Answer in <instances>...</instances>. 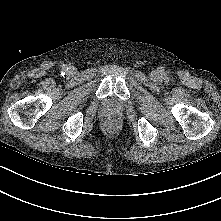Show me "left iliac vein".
Instances as JSON below:
<instances>
[{
  "instance_id": "1",
  "label": "left iliac vein",
  "mask_w": 221,
  "mask_h": 221,
  "mask_svg": "<svg viewBox=\"0 0 221 221\" xmlns=\"http://www.w3.org/2000/svg\"><path fill=\"white\" fill-rule=\"evenodd\" d=\"M161 78V73L158 70H154L151 73V79L157 81Z\"/></svg>"
}]
</instances>
